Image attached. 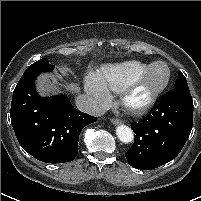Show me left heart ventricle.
<instances>
[{
	"mask_svg": "<svg viewBox=\"0 0 201 201\" xmlns=\"http://www.w3.org/2000/svg\"><path fill=\"white\" fill-rule=\"evenodd\" d=\"M167 76V69L163 64L156 65L147 77L144 79L140 87L136 90L134 98L141 100L152 89L161 85Z\"/></svg>",
	"mask_w": 201,
	"mask_h": 201,
	"instance_id": "b2bd125f",
	"label": "left heart ventricle"
}]
</instances>
